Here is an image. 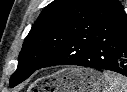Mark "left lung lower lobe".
I'll return each mask as SVG.
<instances>
[{
    "label": "left lung lower lobe",
    "mask_w": 127,
    "mask_h": 92,
    "mask_svg": "<svg viewBox=\"0 0 127 92\" xmlns=\"http://www.w3.org/2000/svg\"><path fill=\"white\" fill-rule=\"evenodd\" d=\"M64 64L127 76V15L123 7L76 34L41 68Z\"/></svg>",
    "instance_id": "obj_1"
}]
</instances>
